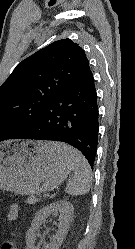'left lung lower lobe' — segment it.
<instances>
[{
  "label": "left lung lower lobe",
  "instance_id": "0a47b994",
  "mask_svg": "<svg viewBox=\"0 0 135 249\" xmlns=\"http://www.w3.org/2000/svg\"><path fill=\"white\" fill-rule=\"evenodd\" d=\"M97 93L92 72L70 87L43 112L36 128L19 139L52 140L76 147L93 167L99 130Z\"/></svg>",
  "mask_w": 135,
  "mask_h": 249
}]
</instances>
